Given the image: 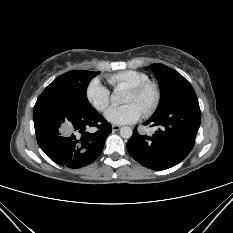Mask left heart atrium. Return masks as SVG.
<instances>
[{
    "instance_id": "left-heart-atrium-1",
    "label": "left heart atrium",
    "mask_w": 233,
    "mask_h": 233,
    "mask_svg": "<svg viewBox=\"0 0 233 233\" xmlns=\"http://www.w3.org/2000/svg\"><path fill=\"white\" fill-rule=\"evenodd\" d=\"M143 115L141 107L135 103L111 106L105 112V119L115 125L130 124Z\"/></svg>"
}]
</instances>
